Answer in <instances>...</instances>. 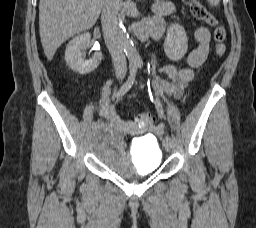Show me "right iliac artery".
I'll return each instance as SVG.
<instances>
[{"instance_id": "82829eb1", "label": "right iliac artery", "mask_w": 256, "mask_h": 228, "mask_svg": "<svg viewBox=\"0 0 256 228\" xmlns=\"http://www.w3.org/2000/svg\"><path fill=\"white\" fill-rule=\"evenodd\" d=\"M136 72H137V66L136 65H130L129 77L126 80V82L121 86V88L119 89L117 94L115 95L116 98H119L120 96H123L132 87V85L134 83V80H135ZM98 126H99L98 122H93L91 124V127L93 129L97 128Z\"/></svg>"}]
</instances>
